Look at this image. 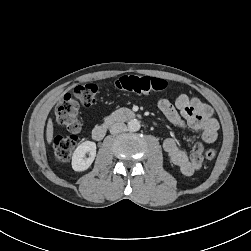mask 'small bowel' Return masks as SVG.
I'll return each mask as SVG.
<instances>
[{
  "label": "small bowel",
  "mask_w": 251,
  "mask_h": 251,
  "mask_svg": "<svg viewBox=\"0 0 251 251\" xmlns=\"http://www.w3.org/2000/svg\"><path fill=\"white\" fill-rule=\"evenodd\" d=\"M158 109L173 124L201 132V142H197L190 154L181 150L173 138L163 140V149L171 162L185 176H192L200 170L203 162V144L212 143L218 137L219 124L213 117L212 108L196 97L185 93L176 95L174 103L161 98L157 102Z\"/></svg>",
  "instance_id": "small-bowel-1"
}]
</instances>
